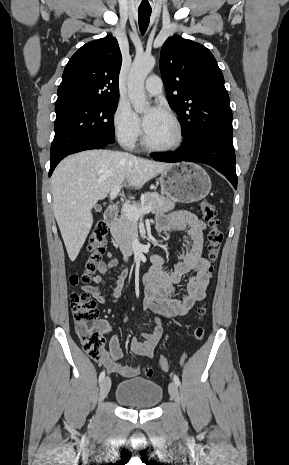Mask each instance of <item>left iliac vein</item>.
Masks as SVG:
<instances>
[{"mask_svg": "<svg viewBox=\"0 0 289 465\" xmlns=\"http://www.w3.org/2000/svg\"><path fill=\"white\" fill-rule=\"evenodd\" d=\"M169 394L176 403H179V390L175 382L169 384Z\"/></svg>", "mask_w": 289, "mask_h": 465, "instance_id": "left-iliac-vein-1", "label": "left iliac vein"}]
</instances>
